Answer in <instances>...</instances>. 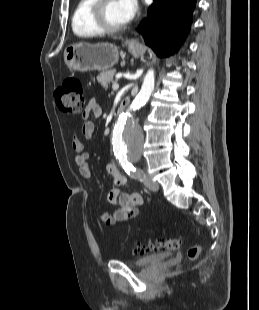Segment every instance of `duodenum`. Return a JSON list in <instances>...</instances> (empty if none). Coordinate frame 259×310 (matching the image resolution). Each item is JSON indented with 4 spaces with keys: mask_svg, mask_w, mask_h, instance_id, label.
<instances>
[{
    "mask_svg": "<svg viewBox=\"0 0 259 310\" xmlns=\"http://www.w3.org/2000/svg\"><path fill=\"white\" fill-rule=\"evenodd\" d=\"M129 100L128 99H123L117 109V115L122 114L126 108L128 107Z\"/></svg>",
    "mask_w": 259,
    "mask_h": 310,
    "instance_id": "duodenum-1",
    "label": "duodenum"
}]
</instances>
